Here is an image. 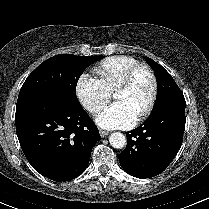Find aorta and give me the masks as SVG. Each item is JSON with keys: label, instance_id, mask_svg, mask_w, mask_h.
Returning <instances> with one entry per match:
<instances>
[{"label": "aorta", "instance_id": "obj_1", "mask_svg": "<svg viewBox=\"0 0 209 209\" xmlns=\"http://www.w3.org/2000/svg\"><path fill=\"white\" fill-rule=\"evenodd\" d=\"M109 142L112 147L122 149L126 145V137L120 132L112 133L109 137Z\"/></svg>", "mask_w": 209, "mask_h": 209}]
</instances>
